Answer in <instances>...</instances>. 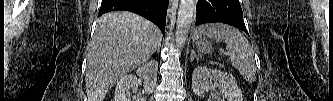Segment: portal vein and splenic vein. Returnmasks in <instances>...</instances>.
<instances>
[{
	"label": "portal vein and splenic vein",
	"mask_w": 333,
	"mask_h": 101,
	"mask_svg": "<svg viewBox=\"0 0 333 101\" xmlns=\"http://www.w3.org/2000/svg\"><path fill=\"white\" fill-rule=\"evenodd\" d=\"M221 52L227 55V53H225L223 50H221Z\"/></svg>",
	"instance_id": "1"
}]
</instances>
